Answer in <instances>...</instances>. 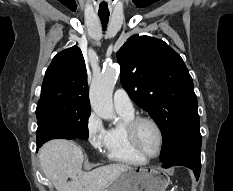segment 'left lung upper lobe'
I'll return each mask as SVG.
<instances>
[{"instance_id":"1","label":"left lung upper lobe","mask_w":233,"mask_h":191,"mask_svg":"<svg viewBox=\"0 0 233 191\" xmlns=\"http://www.w3.org/2000/svg\"><path fill=\"white\" fill-rule=\"evenodd\" d=\"M116 56L124 89L162 131V162L187 145L201 144L197 97L180 55L162 40L133 35Z\"/></svg>"}]
</instances>
